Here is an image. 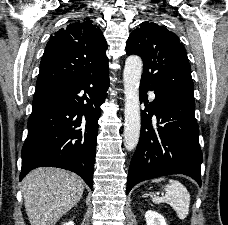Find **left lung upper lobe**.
<instances>
[{
	"label": "left lung upper lobe",
	"mask_w": 228,
	"mask_h": 225,
	"mask_svg": "<svg viewBox=\"0 0 228 225\" xmlns=\"http://www.w3.org/2000/svg\"><path fill=\"white\" fill-rule=\"evenodd\" d=\"M126 51L143 60L141 82L160 93L194 101L189 60L176 34L154 22H142L131 32Z\"/></svg>",
	"instance_id": "obj_1"
}]
</instances>
